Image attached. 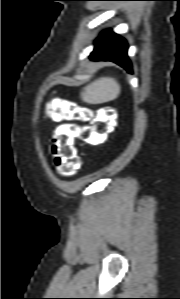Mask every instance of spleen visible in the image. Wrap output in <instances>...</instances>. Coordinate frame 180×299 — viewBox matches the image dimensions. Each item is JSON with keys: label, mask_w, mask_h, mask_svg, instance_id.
<instances>
[{"label": "spleen", "mask_w": 180, "mask_h": 299, "mask_svg": "<svg viewBox=\"0 0 180 299\" xmlns=\"http://www.w3.org/2000/svg\"><path fill=\"white\" fill-rule=\"evenodd\" d=\"M120 87L114 78L102 77L84 87L81 98L90 104H99L118 97Z\"/></svg>", "instance_id": "spleen-1"}]
</instances>
